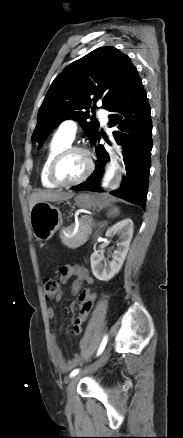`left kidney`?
I'll return each mask as SVG.
<instances>
[{"mask_svg": "<svg viewBox=\"0 0 183 438\" xmlns=\"http://www.w3.org/2000/svg\"><path fill=\"white\" fill-rule=\"evenodd\" d=\"M133 231V222L129 218L123 219L108 228L105 236L111 237L118 234L121 241L118 243L117 250L114 251L113 261L111 262L102 263L103 257L98 251L91 255L92 273L98 280L109 281L120 271L129 250Z\"/></svg>", "mask_w": 183, "mask_h": 438, "instance_id": "5707ae66", "label": "left kidney"}]
</instances>
